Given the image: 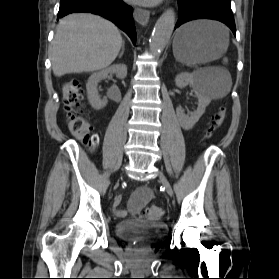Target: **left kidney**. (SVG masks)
<instances>
[{
    "label": "left kidney",
    "instance_id": "obj_1",
    "mask_svg": "<svg viewBox=\"0 0 279 279\" xmlns=\"http://www.w3.org/2000/svg\"><path fill=\"white\" fill-rule=\"evenodd\" d=\"M175 84L179 88H184L191 85L198 98V107L191 113L190 116L185 115L184 111L179 107L176 109V114L181 127L184 130H190L199 121L200 117L204 114L206 107L210 104L211 98L202 91V77L192 73H180L175 78Z\"/></svg>",
    "mask_w": 279,
    "mask_h": 279
}]
</instances>
